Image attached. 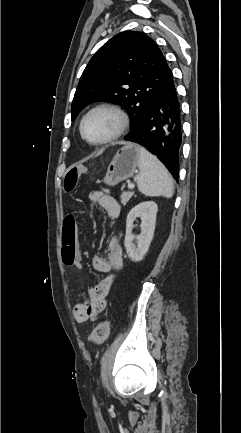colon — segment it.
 Returning <instances> with one entry per match:
<instances>
[{
	"label": "colon",
	"instance_id": "obj_1",
	"mask_svg": "<svg viewBox=\"0 0 241 433\" xmlns=\"http://www.w3.org/2000/svg\"><path fill=\"white\" fill-rule=\"evenodd\" d=\"M78 162H73L69 165V172L65 173L60 187L63 195H70L72 190H77L80 184V177H87V168H79ZM63 235L61 236L62 261L66 265H73L77 258V253L81 246L79 245L80 231L77 228V213L64 212L62 216ZM110 320L101 321L89 336V342L95 345L103 343L110 332Z\"/></svg>",
	"mask_w": 241,
	"mask_h": 433
}]
</instances>
